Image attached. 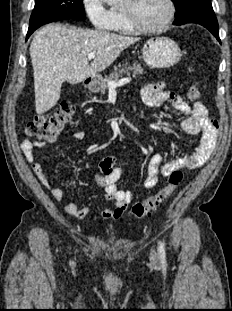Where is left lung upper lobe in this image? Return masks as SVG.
Instances as JSON below:
<instances>
[{
    "mask_svg": "<svg viewBox=\"0 0 232 311\" xmlns=\"http://www.w3.org/2000/svg\"><path fill=\"white\" fill-rule=\"evenodd\" d=\"M175 8H176V15L180 13L181 11L187 9L190 5L193 3L199 1V0H172Z\"/></svg>",
    "mask_w": 232,
    "mask_h": 311,
    "instance_id": "5c2ea615",
    "label": "left lung upper lobe"
}]
</instances>
